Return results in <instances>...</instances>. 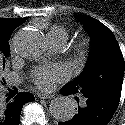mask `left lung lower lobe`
Returning a JSON list of instances; mask_svg holds the SVG:
<instances>
[{
  "instance_id": "left-lung-lower-lobe-1",
  "label": "left lung lower lobe",
  "mask_w": 125,
  "mask_h": 125,
  "mask_svg": "<svg viewBox=\"0 0 125 125\" xmlns=\"http://www.w3.org/2000/svg\"><path fill=\"white\" fill-rule=\"evenodd\" d=\"M62 94L70 91L64 86ZM78 101V98H76ZM120 100V95H102L84 97V106L78 103V113L68 121L59 122L58 125H107L115 113Z\"/></svg>"
}]
</instances>
